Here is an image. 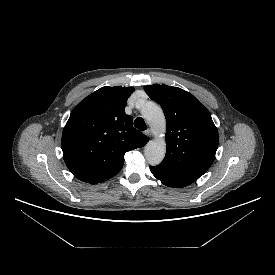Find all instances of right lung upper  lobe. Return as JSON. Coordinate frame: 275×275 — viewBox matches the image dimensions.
Masks as SVG:
<instances>
[{
  "mask_svg": "<svg viewBox=\"0 0 275 275\" xmlns=\"http://www.w3.org/2000/svg\"><path fill=\"white\" fill-rule=\"evenodd\" d=\"M131 87H102L82 100L64 127L61 146L71 173L87 183L115 176L127 151L143 147L148 137L133 127L125 113Z\"/></svg>",
  "mask_w": 275,
  "mask_h": 275,
  "instance_id": "right-lung-upper-lobe-1",
  "label": "right lung upper lobe"
}]
</instances>
